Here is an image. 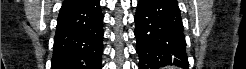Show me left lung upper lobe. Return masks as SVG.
<instances>
[{"label": "left lung upper lobe", "instance_id": "left-lung-upper-lobe-1", "mask_svg": "<svg viewBox=\"0 0 246 69\" xmlns=\"http://www.w3.org/2000/svg\"><path fill=\"white\" fill-rule=\"evenodd\" d=\"M171 2H172V4H174L175 6H177L178 7V3H177V1L176 0H170Z\"/></svg>", "mask_w": 246, "mask_h": 69}]
</instances>
